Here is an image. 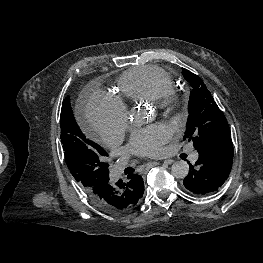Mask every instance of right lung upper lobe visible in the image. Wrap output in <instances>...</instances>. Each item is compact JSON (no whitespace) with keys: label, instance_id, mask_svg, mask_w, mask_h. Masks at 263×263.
I'll return each instance as SVG.
<instances>
[{"label":"right lung upper lobe","instance_id":"obj_1","mask_svg":"<svg viewBox=\"0 0 263 263\" xmlns=\"http://www.w3.org/2000/svg\"><path fill=\"white\" fill-rule=\"evenodd\" d=\"M129 189L130 192L128 201L124 205H122V207L115 210L114 213H125L134 209L138 205L139 200L141 199L144 193V185L142 183L136 184L130 187Z\"/></svg>","mask_w":263,"mask_h":263}]
</instances>
